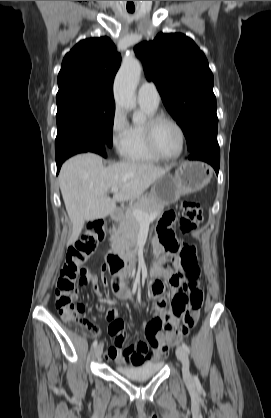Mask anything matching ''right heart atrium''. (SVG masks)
<instances>
[{
    "label": "right heart atrium",
    "mask_w": 271,
    "mask_h": 418,
    "mask_svg": "<svg viewBox=\"0 0 271 418\" xmlns=\"http://www.w3.org/2000/svg\"><path fill=\"white\" fill-rule=\"evenodd\" d=\"M127 131V122L125 118L124 112L121 108L116 107L114 110L111 126H110V134H111V142L115 149L121 151L126 137Z\"/></svg>",
    "instance_id": "obj_1"
}]
</instances>
